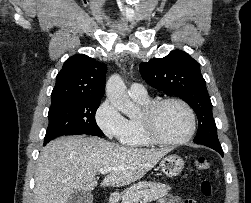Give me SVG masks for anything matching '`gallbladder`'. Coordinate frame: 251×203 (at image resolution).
<instances>
[{
    "instance_id": "1",
    "label": "gallbladder",
    "mask_w": 251,
    "mask_h": 203,
    "mask_svg": "<svg viewBox=\"0 0 251 203\" xmlns=\"http://www.w3.org/2000/svg\"><path fill=\"white\" fill-rule=\"evenodd\" d=\"M92 202H93V195L90 192H84L80 190L73 192L67 200V203H92Z\"/></svg>"
}]
</instances>
